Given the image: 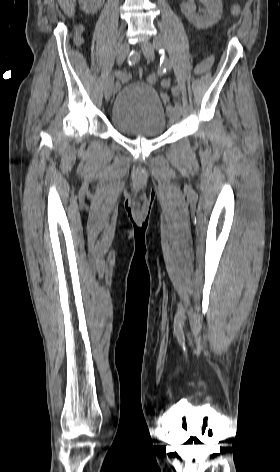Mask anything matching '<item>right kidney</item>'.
<instances>
[{"label":"right kidney","mask_w":280,"mask_h":472,"mask_svg":"<svg viewBox=\"0 0 280 472\" xmlns=\"http://www.w3.org/2000/svg\"><path fill=\"white\" fill-rule=\"evenodd\" d=\"M82 11L86 14L96 13L102 6L104 0H79Z\"/></svg>","instance_id":"obj_1"}]
</instances>
